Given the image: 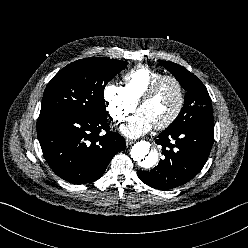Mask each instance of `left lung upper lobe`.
Here are the masks:
<instances>
[{
    "mask_svg": "<svg viewBox=\"0 0 248 248\" xmlns=\"http://www.w3.org/2000/svg\"><path fill=\"white\" fill-rule=\"evenodd\" d=\"M159 64L169 70L187 91L183 108L167 128L186 129L214 126L211 99L203 83L186 68L176 63L161 61Z\"/></svg>",
    "mask_w": 248,
    "mask_h": 248,
    "instance_id": "obj_1",
    "label": "left lung upper lobe"
}]
</instances>
